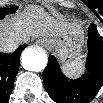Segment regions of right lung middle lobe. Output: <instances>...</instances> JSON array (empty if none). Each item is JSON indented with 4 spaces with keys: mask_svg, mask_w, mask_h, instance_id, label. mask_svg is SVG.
I'll list each match as a JSON object with an SVG mask.
<instances>
[{
    "mask_svg": "<svg viewBox=\"0 0 103 103\" xmlns=\"http://www.w3.org/2000/svg\"><path fill=\"white\" fill-rule=\"evenodd\" d=\"M17 10V7L8 8V9H0V18H3L5 15L13 13Z\"/></svg>",
    "mask_w": 103,
    "mask_h": 103,
    "instance_id": "right-lung-middle-lobe-1",
    "label": "right lung middle lobe"
}]
</instances>
